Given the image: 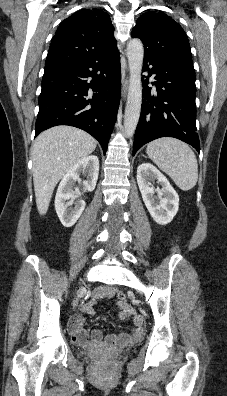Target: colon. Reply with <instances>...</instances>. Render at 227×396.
<instances>
[{"label":"colon","mask_w":227,"mask_h":396,"mask_svg":"<svg viewBox=\"0 0 227 396\" xmlns=\"http://www.w3.org/2000/svg\"><path fill=\"white\" fill-rule=\"evenodd\" d=\"M118 298L123 299L124 298V294L123 293H119L118 294Z\"/></svg>","instance_id":"obj_1"}]
</instances>
